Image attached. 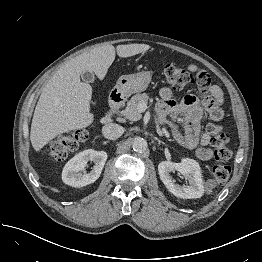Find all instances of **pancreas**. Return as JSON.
<instances>
[{"label": "pancreas", "mask_w": 262, "mask_h": 262, "mask_svg": "<svg viewBox=\"0 0 262 262\" xmlns=\"http://www.w3.org/2000/svg\"><path fill=\"white\" fill-rule=\"evenodd\" d=\"M149 100V95L146 93L134 95L127 103V107L122 111L123 116L131 121L140 120L142 115L138 109L140 103H147ZM160 120L162 123L168 124L170 127H174L171 121H168L165 116H161Z\"/></svg>", "instance_id": "cf45deb5"}]
</instances>
